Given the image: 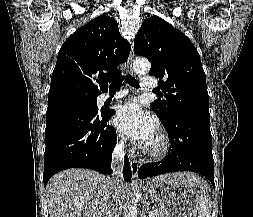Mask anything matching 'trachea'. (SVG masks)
Segmentation results:
<instances>
[{"mask_svg": "<svg viewBox=\"0 0 253 217\" xmlns=\"http://www.w3.org/2000/svg\"><path fill=\"white\" fill-rule=\"evenodd\" d=\"M126 79V81L128 82L129 85L135 87V88H139V83L135 80V78H133L131 75H126L123 76L122 78H120L119 80H116L114 82L111 83L109 90H118L121 87L122 81ZM155 93H158L155 91Z\"/></svg>", "mask_w": 253, "mask_h": 217, "instance_id": "1", "label": "trachea"}]
</instances>
